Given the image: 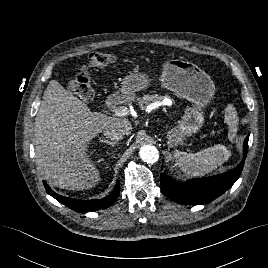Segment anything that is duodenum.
<instances>
[{"label":"duodenum","mask_w":268,"mask_h":268,"mask_svg":"<svg viewBox=\"0 0 268 268\" xmlns=\"http://www.w3.org/2000/svg\"><path fill=\"white\" fill-rule=\"evenodd\" d=\"M120 103V97L118 94H112L110 95L107 100H106V103H105V107L107 109H112V108H115L119 105Z\"/></svg>","instance_id":"obj_1"}]
</instances>
